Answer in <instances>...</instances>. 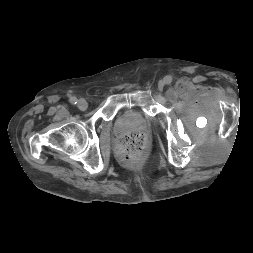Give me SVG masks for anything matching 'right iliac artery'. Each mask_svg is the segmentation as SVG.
<instances>
[{"mask_svg": "<svg viewBox=\"0 0 253 253\" xmlns=\"http://www.w3.org/2000/svg\"><path fill=\"white\" fill-rule=\"evenodd\" d=\"M69 101H70V103L73 104V105H75V104L78 103V99H77L76 97H71Z\"/></svg>", "mask_w": 253, "mask_h": 253, "instance_id": "82829eb1", "label": "right iliac artery"}]
</instances>
